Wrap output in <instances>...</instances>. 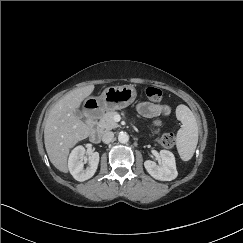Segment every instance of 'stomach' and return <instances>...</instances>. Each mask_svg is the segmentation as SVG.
Here are the masks:
<instances>
[{"label":"stomach","instance_id":"1","mask_svg":"<svg viewBox=\"0 0 243 243\" xmlns=\"http://www.w3.org/2000/svg\"><path fill=\"white\" fill-rule=\"evenodd\" d=\"M136 97L137 91L133 85L111 86L100 97H90L85 103L95 101L104 110H119L129 106Z\"/></svg>","mask_w":243,"mask_h":243}]
</instances>
